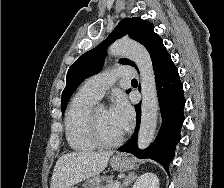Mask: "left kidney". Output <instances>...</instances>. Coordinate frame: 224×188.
<instances>
[{
    "label": "left kidney",
    "instance_id": "left-kidney-1",
    "mask_svg": "<svg viewBox=\"0 0 224 188\" xmlns=\"http://www.w3.org/2000/svg\"><path fill=\"white\" fill-rule=\"evenodd\" d=\"M133 188H159V179L154 173H144L134 183Z\"/></svg>",
    "mask_w": 224,
    "mask_h": 188
}]
</instances>
